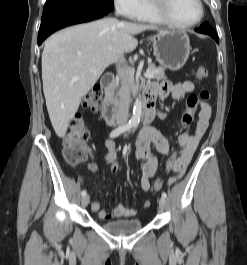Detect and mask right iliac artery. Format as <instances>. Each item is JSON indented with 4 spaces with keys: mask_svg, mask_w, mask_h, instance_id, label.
Masks as SVG:
<instances>
[{
    "mask_svg": "<svg viewBox=\"0 0 247 265\" xmlns=\"http://www.w3.org/2000/svg\"><path fill=\"white\" fill-rule=\"evenodd\" d=\"M132 127H133V124H132V123H128V124H125V125H123V126H120V127L116 128V129H114V130L110 133V137H111V138H115V137L119 136L121 133L130 130ZM81 195H82V196H85V195H86V191L83 190V191L81 192Z\"/></svg>",
    "mask_w": 247,
    "mask_h": 265,
    "instance_id": "obj_1",
    "label": "right iliac artery"
}]
</instances>
